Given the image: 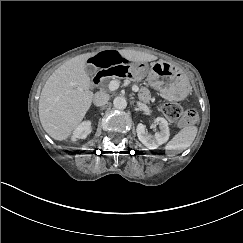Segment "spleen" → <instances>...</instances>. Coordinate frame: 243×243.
Returning <instances> with one entry per match:
<instances>
[{
    "label": "spleen",
    "instance_id": "spleen-1",
    "mask_svg": "<svg viewBox=\"0 0 243 243\" xmlns=\"http://www.w3.org/2000/svg\"><path fill=\"white\" fill-rule=\"evenodd\" d=\"M198 133L196 125H190L182 128L167 144L165 150L167 153L171 151L178 152L186 150L194 142Z\"/></svg>",
    "mask_w": 243,
    "mask_h": 243
}]
</instances>
